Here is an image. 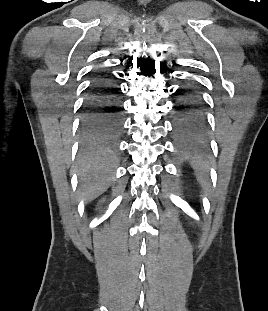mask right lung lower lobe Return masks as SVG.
<instances>
[{"label":"right lung lower lobe","instance_id":"right-lung-lower-lobe-1","mask_svg":"<svg viewBox=\"0 0 268 311\" xmlns=\"http://www.w3.org/2000/svg\"><path fill=\"white\" fill-rule=\"evenodd\" d=\"M116 87L98 79L85 99L81 131L87 140H114L122 132L121 100Z\"/></svg>","mask_w":268,"mask_h":311}]
</instances>
